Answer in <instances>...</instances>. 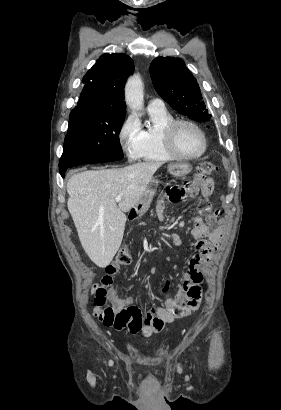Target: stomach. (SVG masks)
Wrapping results in <instances>:
<instances>
[{
    "label": "stomach",
    "mask_w": 281,
    "mask_h": 410,
    "mask_svg": "<svg viewBox=\"0 0 281 410\" xmlns=\"http://www.w3.org/2000/svg\"><path fill=\"white\" fill-rule=\"evenodd\" d=\"M191 171V166L186 163H175L168 165V172L175 177H181L188 174ZM158 179L152 178L148 188L143 193L138 203L133 207L132 212L136 216H141L147 212L150 207L152 198L155 194L156 188L158 186Z\"/></svg>",
    "instance_id": "stomach-1"
}]
</instances>
